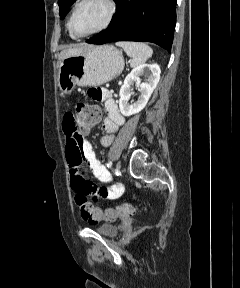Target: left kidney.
<instances>
[{
	"mask_svg": "<svg viewBox=\"0 0 240 288\" xmlns=\"http://www.w3.org/2000/svg\"><path fill=\"white\" fill-rule=\"evenodd\" d=\"M160 73V66L158 64H151L139 65L127 75L119 93V108L124 116L128 117L139 113L146 106L151 94L160 80ZM140 76H145L147 78L146 82L141 83ZM134 83L136 87L139 88L141 94L137 101L129 104L128 101L132 94L131 85Z\"/></svg>",
	"mask_w": 240,
	"mask_h": 288,
	"instance_id": "obj_1",
	"label": "left kidney"
}]
</instances>
